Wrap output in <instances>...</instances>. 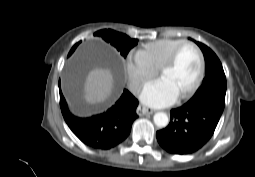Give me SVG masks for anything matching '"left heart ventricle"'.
<instances>
[{"label": "left heart ventricle", "instance_id": "left-heart-ventricle-1", "mask_svg": "<svg viewBox=\"0 0 255 177\" xmlns=\"http://www.w3.org/2000/svg\"><path fill=\"white\" fill-rule=\"evenodd\" d=\"M199 70V56L191 46H185L175 65L165 71L161 77L167 79L179 92L186 91L195 81Z\"/></svg>", "mask_w": 255, "mask_h": 177}]
</instances>
